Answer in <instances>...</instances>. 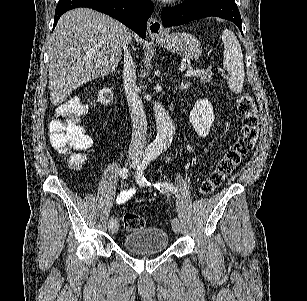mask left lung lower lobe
<instances>
[{"mask_svg": "<svg viewBox=\"0 0 307 301\" xmlns=\"http://www.w3.org/2000/svg\"><path fill=\"white\" fill-rule=\"evenodd\" d=\"M216 16L232 21L242 32L241 16L234 0H194L161 12L164 27L178 26L192 20Z\"/></svg>", "mask_w": 307, "mask_h": 301, "instance_id": "0a47b994", "label": "left lung lower lobe"}]
</instances>
